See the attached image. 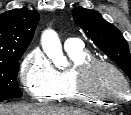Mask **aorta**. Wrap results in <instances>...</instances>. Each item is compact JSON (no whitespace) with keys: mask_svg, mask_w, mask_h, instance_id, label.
<instances>
[{"mask_svg":"<svg viewBox=\"0 0 131 115\" xmlns=\"http://www.w3.org/2000/svg\"><path fill=\"white\" fill-rule=\"evenodd\" d=\"M41 44L46 55L53 61L55 66L63 69L66 59L63 56L61 42L53 30H46L42 34Z\"/></svg>","mask_w":131,"mask_h":115,"instance_id":"obj_1","label":"aorta"}]
</instances>
